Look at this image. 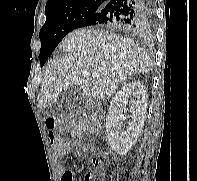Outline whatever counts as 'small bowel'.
I'll return each instance as SVG.
<instances>
[{
  "instance_id": "obj_1",
  "label": "small bowel",
  "mask_w": 197,
  "mask_h": 181,
  "mask_svg": "<svg viewBox=\"0 0 197 181\" xmlns=\"http://www.w3.org/2000/svg\"><path fill=\"white\" fill-rule=\"evenodd\" d=\"M75 148L78 154H82L85 147L78 140H66L62 143L60 149H55V158L58 162H62L68 152ZM61 181H74V173L71 169L62 165L59 166Z\"/></svg>"
}]
</instances>
